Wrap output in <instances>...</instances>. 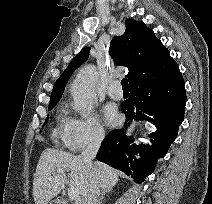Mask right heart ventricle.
<instances>
[{"label": "right heart ventricle", "mask_w": 212, "mask_h": 204, "mask_svg": "<svg viewBox=\"0 0 212 204\" xmlns=\"http://www.w3.org/2000/svg\"><path fill=\"white\" fill-rule=\"evenodd\" d=\"M69 117L64 108L59 109L57 113V124L53 130V137L55 139L64 140L66 134V127Z\"/></svg>", "instance_id": "1"}]
</instances>
